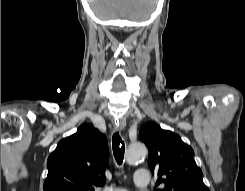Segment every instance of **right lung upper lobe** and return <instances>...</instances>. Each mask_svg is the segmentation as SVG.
<instances>
[{
	"label": "right lung upper lobe",
	"mask_w": 245,
	"mask_h": 191,
	"mask_svg": "<svg viewBox=\"0 0 245 191\" xmlns=\"http://www.w3.org/2000/svg\"><path fill=\"white\" fill-rule=\"evenodd\" d=\"M106 137L92 125L83 124L77 132L59 141L47 160L44 191H94L105 183L108 164Z\"/></svg>",
	"instance_id": "obj_1"
}]
</instances>
